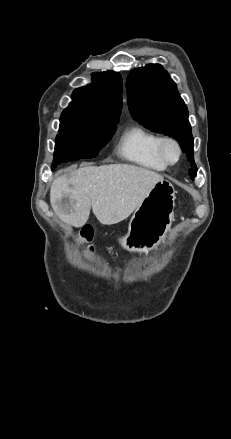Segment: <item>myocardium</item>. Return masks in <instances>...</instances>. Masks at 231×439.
<instances>
[{"label": "myocardium", "instance_id": "f54148a6", "mask_svg": "<svg viewBox=\"0 0 231 439\" xmlns=\"http://www.w3.org/2000/svg\"><path fill=\"white\" fill-rule=\"evenodd\" d=\"M169 145L173 146L176 149L177 157L175 160H171L167 155L166 148ZM157 151H158V154H159L161 160L167 166L176 165L181 160V157H182V147H181L180 143L175 138L170 137V136H164V137L160 138V140L158 142Z\"/></svg>", "mask_w": 231, "mask_h": 439}]
</instances>
